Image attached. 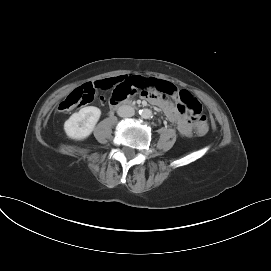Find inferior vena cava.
Masks as SVG:
<instances>
[{
  "instance_id": "inferior-vena-cava-1",
  "label": "inferior vena cava",
  "mask_w": 271,
  "mask_h": 271,
  "mask_svg": "<svg viewBox=\"0 0 271 271\" xmlns=\"http://www.w3.org/2000/svg\"><path fill=\"white\" fill-rule=\"evenodd\" d=\"M117 113L120 117H132L135 114V110L129 105H122L118 108Z\"/></svg>"
}]
</instances>
